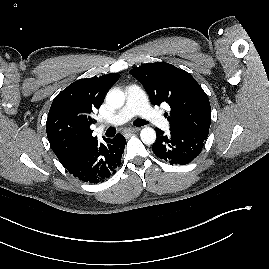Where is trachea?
Returning <instances> with one entry per match:
<instances>
[{"mask_svg":"<svg viewBox=\"0 0 269 269\" xmlns=\"http://www.w3.org/2000/svg\"><path fill=\"white\" fill-rule=\"evenodd\" d=\"M148 124L147 121L143 120V119H136L134 121V125L137 126V127H141V126H144ZM108 130H114L115 131V128L114 127H110Z\"/></svg>","mask_w":269,"mask_h":269,"instance_id":"3493384b","label":"trachea"}]
</instances>
